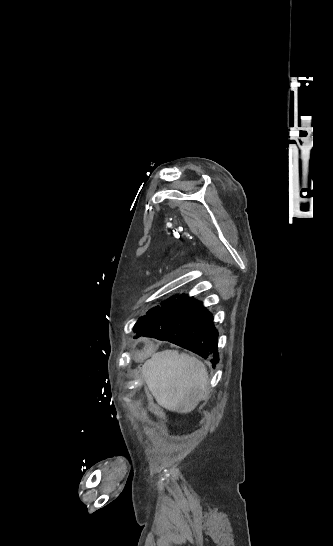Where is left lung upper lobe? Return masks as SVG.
Returning <instances> with one entry per match:
<instances>
[{"mask_svg": "<svg viewBox=\"0 0 333 546\" xmlns=\"http://www.w3.org/2000/svg\"><path fill=\"white\" fill-rule=\"evenodd\" d=\"M177 297H178V295L173 296V297L167 299L166 301L162 302V303H161V306H156V307L152 308L151 310H149V311L146 313L145 316L139 318L138 322L136 323V326H137V327H141V326H142V325H143L151 316H153V315L157 312V310H158L160 307H162V306H164V305L170 303L171 301L175 300Z\"/></svg>", "mask_w": 333, "mask_h": 546, "instance_id": "5c2ea615", "label": "left lung upper lobe"}]
</instances>
